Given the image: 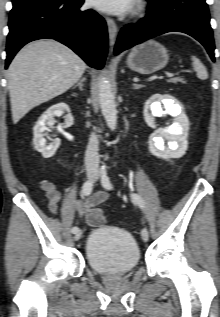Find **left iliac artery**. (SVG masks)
I'll list each match as a JSON object with an SVG mask.
<instances>
[{
	"label": "left iliac artery",
	"mask_w": 220,
	"mask_h": 317,
	"mask_svg": "<svg viewBox=\"0 0 220 317\" xmlns=\"http://www.w3.org/2000/svg\"><path fill=\"white\" fill-rule=\"evenodd\" d=\"M101 183L102 186L107 189L111 190L113 188L112 183L107 175L106 171H102V176H101ZM131 199L134 203H136L141 209H144V201L143 199L138 195V194H132Z\"/></svg>",
	"instance_id": "44dca946"
}]
</instances>
